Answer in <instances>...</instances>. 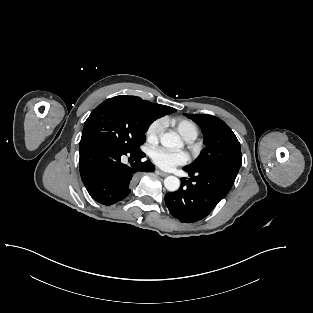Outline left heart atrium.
<instances>
[{"label":"left heart atrium","instance_id":"left-heart-atrium-1","mask_svg":"<svg viewBox=\"0 0 313 313\" xmlns=\"http://www.w3.org/2000/svg\"><path fill=\"white\" fill-rule=\"evenodd\" d=\"M150 156L154 164L164 170H171L188 161V155L185 152L172 151L162 147L153 148Z\"/></svg>","mask_w":313,"mask_h":313}]
</instances>
